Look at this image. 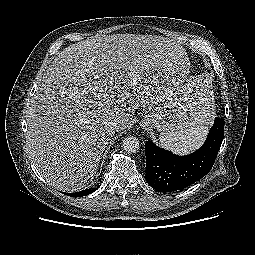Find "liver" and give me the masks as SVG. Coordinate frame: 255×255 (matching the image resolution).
Wrapping results in <instances>:
<instances>
[{
  "label": "liver",
  "instance_id": "6515ba94",
  "mask_svg": "<svg viewBox=\"0 0 255 255\" xmlns=\"http://www.w3.org/2000/svg\"><path fill=\"white\" fill-rule=\"evenodd\" d=\"M190 62L178 42L156 35L113 34L66 47L51 62L27 117L31 159L48 184L84 188L115 132L135 110L159 105L187 79ZM119 120L111 130L109 121Z\"/></svg>",
  "mask_w": 255,
  "mask_h": 255
}]
</instances>
